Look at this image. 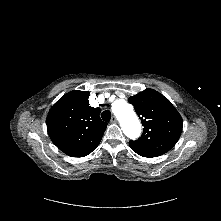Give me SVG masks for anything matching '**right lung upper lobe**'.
I'll list each match as a JSON object with an SVG mask.
<instances>
[{"label":"right lung upper lobe","mask_w":221,"mask_h":221,"mask_svg":"<svg viewBox=\"0 0 221 221\" xmlns=\"http://www.w3.org/2000/svg\"><path fill=\"white\" fill-rule=\"evenodd\" d=\"M89 92L74 90L62 96L50 109L46 124L53 143L71 157H84L100 143L107 123L100 108L89 105Z\"/></svg>","instance_id":"obj_1"}]
</instances>
